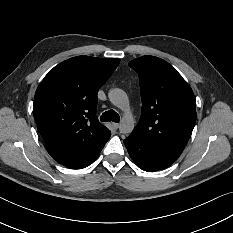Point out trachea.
<instances>
[{"mask_svg": "<svg viewBox=\"0 0 233 233\" xmlns=\"http://www.w3.org/2000/svg\"><path fill=\"white\" fill-rule=\"evenodd\" d=\"M100 120L102 122H110V121L119 122L120 121V116L114 110H109V111L104 112L100 116Z\"/></svg>", "mask_w": 233, "mask_h": 233, "instance_id": "3493384b", "label": "trachea"}]
</instances>
